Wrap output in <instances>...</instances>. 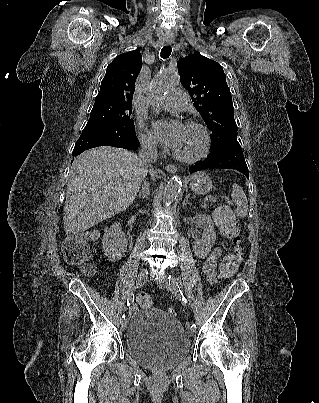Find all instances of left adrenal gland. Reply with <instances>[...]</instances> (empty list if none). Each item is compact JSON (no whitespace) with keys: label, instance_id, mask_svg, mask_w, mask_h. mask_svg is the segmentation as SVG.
<instances>
[{"label":"left adrenal gland","instance_id":"1","mask_svg":"<svg viewBox=\"0 0 319 403\" xmlns=\"http://www.w3.org/2000/svg\"><path fill=\"white\" fill-rule=\"evenodd\" d=\"M189 196H190V194H188V195L186 196V198L183 200L182 206H185L186 204L191 205V203L188 201Z\"/></svg>","mask_w":319,"mask_h":403}]
</instances>
